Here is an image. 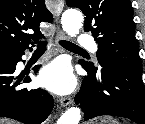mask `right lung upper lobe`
<instances>
[{
  "instance_id": "cb5924a9",
  "label": "right lung upper lobe",
  "mask_w": 145,
  "mask_h": 124,
  "mask_svg": "<svg viewBox=\"0 0 145 124\" xmlns=\"http://www.w3.org/2000/svg\"><path fill=\"white\" fill-rule=\"evenodd\" d=\"M52 20L44 0H0V53L25 51L31 39L44 37L40 23Z\"/></svg>"
}]
</instances>
